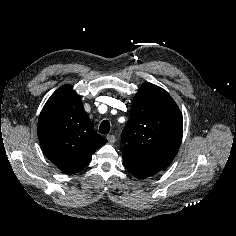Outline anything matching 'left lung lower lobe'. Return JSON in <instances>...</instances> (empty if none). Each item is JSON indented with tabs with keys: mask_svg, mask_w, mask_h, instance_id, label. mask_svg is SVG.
I'll return each mask as SVG.
<instances>
[{
	"mask_svg": "<svg viewBox=\"0 0 236 236\" xmlns=\"http://www.w3.org/2000/svg\"><path fill=\"white\" fill-rule=\"evenodd\" d=\"M123 161L128 171L139 179H145L166 168L163 165L148 162L127 153H123Z\"/></svg>",
	"mask_w": 236,
	"mask_h": 236,
	"instance_id": "0a47b994",
	"label": "left lung lower lobe"
}]
</instances>
